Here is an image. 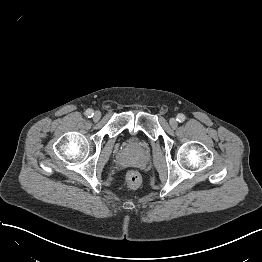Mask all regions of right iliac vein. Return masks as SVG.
Masks as SVG:
<instances>
[{
  "label": "right iliac vein",
  "instance_id": "63e3f726",
  "mask_svg": "<svg viewBox=\"0 0 262 262\" xmlns=\"http://www.w3.org/2000/svg\"><path fill=\"white\" fill-rule=\"evenodd\" d=\"M100 118H101V113H100L99 111H96V112L94 113L93 119H94L95 121H98Z\"/></svg>",
  "mask_w": 262,
  "mask_h": 262
}]
</instances>
